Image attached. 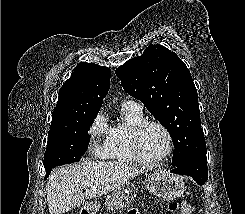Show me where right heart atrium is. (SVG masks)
I'll list each match as a JSON object with an SVG mask.
<instances>
[{
    "instance_id": "d8ad5b80",
    "label": "right heart atrium",
    "mask_w": 245,
    "mask_h": 214,
    "mask_svg": "<svg viewBox=\"0 0 245 214\" xmlns=\"http://www.w3.org/2000/svg\"><path fill=\"white\" fill-rule=\"evenodd\" d=\"M110 131L107 115L102 110L95 116L88 129L90 149L97 158L107 157Z\"/></svg>"
}]
</instances>
